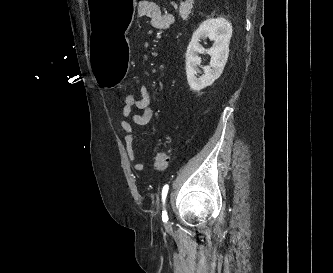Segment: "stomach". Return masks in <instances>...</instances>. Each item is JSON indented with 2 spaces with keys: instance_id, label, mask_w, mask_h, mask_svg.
I'll list each match as a JSON object with an SVG mask.
<instances>
[{
  "instance_id": "1",
  "label": "stomach",
  "mask_w": 333,
  "mask_h": 273,
  "mask_svg": "<svg viewBox=\"0 0 333 273\" xmlns=\"http://www.w3.org/2000/svg\"><path fill=\"white\" fill-rule=\"evenodd\" d=\"M136 0H87L90 5L91 30L87 51L92 58L96 82L111 88L118 81H125L129 70L131 50L124 32H129L135 19Z\"/></svg>"
}]
</instances>
